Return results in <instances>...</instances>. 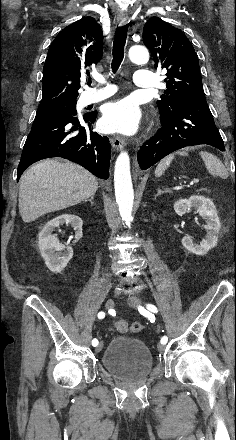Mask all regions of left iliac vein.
<instances>
[{"label":"left iliac vein","instance_id":"4c4485c4","mask_svg":"<svg viewBox=\"0 0 236 440\" xmlns=\"http://www.w3.org/2000/svg\"><path fill=\"white\" fill-rule=\"evenodd\" d=\"M127 302H128L129 306L135 307V308L139 307L140 304H141V300L136 295L129 296L128 299H127ZM158 350L160 352H163L165 350V345L162 344V343L159 344L158 345Z\"/></svg>","mask_w":236,"mask_h":440}]
</instances>
